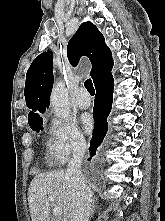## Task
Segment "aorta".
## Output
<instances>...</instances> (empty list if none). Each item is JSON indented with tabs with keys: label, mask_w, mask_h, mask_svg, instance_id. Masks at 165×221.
Wrapping results in <instances>:
<instances>
[{
	"label": "aorta",
	"mask_w": 165,
	"mask_h": 221,
	"mask_svg": "<svg viewBox=\"0 0 165 221\" xmlns=\"http://www.w3.org/2000/svg\"><path fill=\"white\" fill-rule=\"evenodd\" d=\"M51 106L57 117L67 118L70 114L67 90L62 82H57L50 96Z\"/></svg>",
	"instance_id": "aorta-1"
}]
</instances>
